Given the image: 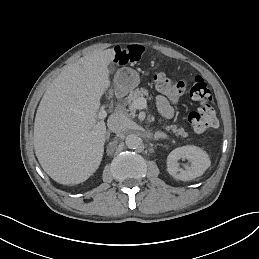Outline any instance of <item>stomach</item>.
Wrapping results in <instances>:
<instances>
[{"mask_svg": "<svg viewBox=\"0 0 259 259\" xmlns=\"http://www.w3.org/2000/svg\"><path fill=\"white\" fill-rule=\"evenodd\" d=\"M139 83L140 79L137 72L128 68L118 70L114 78L116 88L122 92L133 90Z\"/></svg>", "mask_w": 259, "mask_h": 259, "instance_id": "0dacf381", "label": "stomach"}]
</instances>
